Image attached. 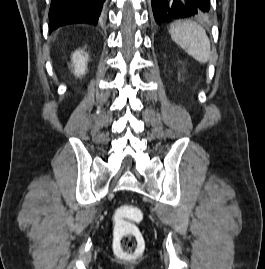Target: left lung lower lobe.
Returning <instances> with one entry per match:
<instances>
[{
    "label": "left lung lower lobe",
    "mask_w": 265,
    "mask_h": 269,
    "mask_svg": "<svg viewBox=\"0 0 265 269\" xmlns=\"http://www.w3.org/2000/svg\"><path fill=\"white\" fill-rule=\"evenodd\" d=\"M151 4L157 24L178 19H202L210 14V0H151Z\"/></svg>",
    "instance_id": "0a47b994"
}]
</instances>
